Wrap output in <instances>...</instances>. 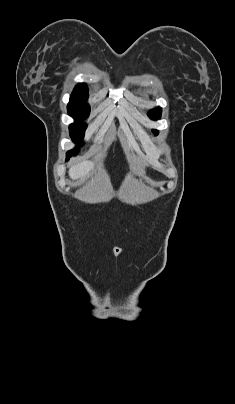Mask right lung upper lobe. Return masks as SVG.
<instances>
[{"mask_svg": "<svg viewBox=\"0 0 235 404\" xmlns=\"http://www.w3.org/2000/svg\"><path fill=\"white\" fill-rule=\"evenodd\" d=\"M88 98V88L85 84H79L75 87L70 97V103L83 104Z\"/></svg>", "mask_w": 235, "mask_h": 404, "instance_id": "cb5924a9", "label": "right lung upper lobe"}]
</instances>
